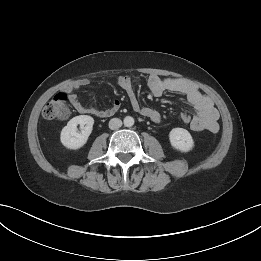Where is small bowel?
Masks as SVG:
<instances>
[{
  "instance_id": "small-bowel-1",
  "label": "small bowel",
  "mask_w": 261,
  "mask_h": 261,
  "mask_svg": "<svg viewBox=\"0 0 261 261\" xmlns=\"http://www.w3.org/2000/svg\"><path fill=\"white\" fill-rule=\"evenodd\" d=\"M118 85L127 93L132 109L144 117L149 118L153 122L159 123L161 121L160 113L153 108L143 107L140 105L132 80L128 76H121L117 81ZM88 84L87 79H81L74 82L66 89L67 98L81 114H92L99 117H108L114 114L120 108V102L115 100L110 108L97 109L91 106L83 105L75 90ZM148 87L155 97L161 96L164 92H174L182 94L187 101L194 107L195 115L191 117L190 127L193 131H209L215 133L219 129V113L214 107L211 99L201 93L193 84L175 78H162L158 75H150L147 80Z\"/></svg>"
}]
</instances>
